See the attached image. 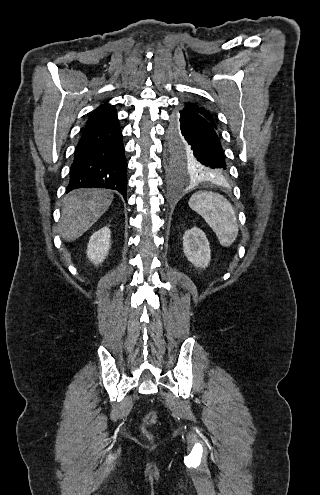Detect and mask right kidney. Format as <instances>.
<instances>
[{
    "label": "right kidney",
    "mask_w": 320,
    "mask_h": 495,
    "mask_svg": "<svg viewBox=\"0 0 320 495\" xmlns=\"http://www.w3.org/2000/svg\"><path fill=\"white\" fill-rule=\"evenodd\" d=\"M110 234V229L104 227L91 236L87 247V256L93 264H101L108 255L110 249Z\"/></svg>",
    "instance_id": "1"
}]
</instances>
